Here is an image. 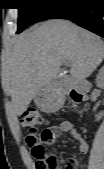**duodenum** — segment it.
<instances>
[{"instance_id":"1","label":"duodenum","mask_w":104,"mask_h":169,"mask_svg":"<svg viewBox=\"0 0 104 169\" xmlns=\"http://www.w3.org/2000/svg\"><path fill=\"white\" fill-rule=\"evenodd\" d=\"M90 87V83L86 80H80L75 84L76 91L83 95L85 98L88 97Z\"/></svg>"}]
</instances>
